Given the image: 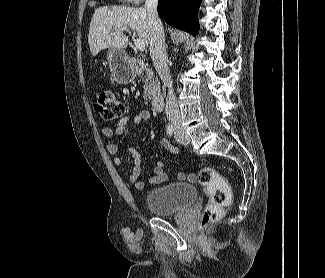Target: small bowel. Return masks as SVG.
I'll return each instance as SVG.
<instances>
[{"label": "small bowel", "instance_id": "small-bowel-1", "mask_svg": "<svg viewBox=\"0 0 325 278\" xmlns=\"http://www.w3.org/2000/svg\"><path fill=\"white\" fill-rule=\"evenodd\" d=\"M150 119L151 114L148 110H141L135 114H128L121 120H119L114 128H103L102 134L107 138H111L115 135H123L127 131L129 121H132L134 124L138 125L143 122H148ZM161 145L173 153L181 152L179 148L170 145L166 140H162ZM107 151L110 155L113 156V163L115 165H122L123 159L118 155L119 148L117 144L109 143L107 145ZM128 152L132 158V170L129 175V180L135 186L136 189L141 190L144 187V184L139 180L142 169V157L140 153L134 150L133 148H129ZM164 166L165 165L163 161L156 162L154 166V174L150 179L151 185H160L169 181L170 177L168 174L165 173ZM177 178L180 180L184 179L185 175L180 173L177 175Z\"/></svg>", "mask_w": 325, "mask_h": 278}]
</instances>
